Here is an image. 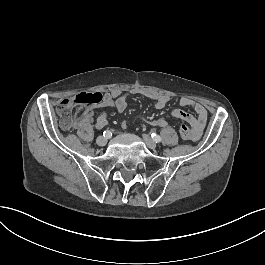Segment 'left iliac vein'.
Returning <instances> with one entry per match:
<instances>
[{"instance_id": "1", "label": "left iliac vein", "mask_w": 265, "mask_h": 265, "mask_svg": "<svg viewBox=\"0 0 265 265\" xmlns=\"http://www.w3.org/2000/svg\"><path fill=\"white\" fill-rule=\"evenodd\" d=\"M143 140L148 148L150 149H156L157 145L155 141L147 134H143Z\"/></svg>"}]
</instances>
